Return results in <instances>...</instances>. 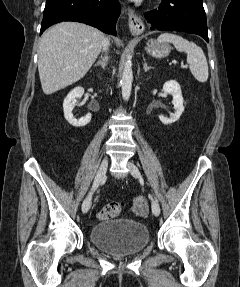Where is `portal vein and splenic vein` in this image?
<instances>
[{"label": "portal vein and splenic vein", "mask_w": 240, "mask_h": 287, "mask_svg": "<svg viewBox=\"0 0 240 287\" xmlns=\"http://www.w3.org/2000/svg\"><path fill=\"white\" fill-rule=\"evenodd\" d=\"M187 65H181V68L187 69Z\"/></svg>", "instance_id": "1"}]
</instances>
